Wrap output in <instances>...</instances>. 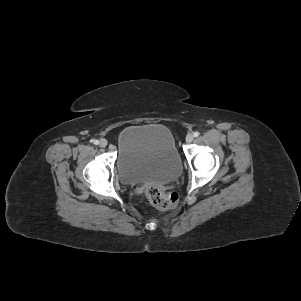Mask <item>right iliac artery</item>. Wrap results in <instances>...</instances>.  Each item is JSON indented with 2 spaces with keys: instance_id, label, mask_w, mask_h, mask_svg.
I'll list each match as a JSON object with an SVG mask.
<instances>
[{
  "instance_id": "82829eb1",
  "label": "right iliac artery",
  "mask_w": 301,
  "mask_h": 301,
  "mask_svg": "<svg viewBox=\"0 0 301 301\" xmlns=\"http://www.w3.org/2000/svg\"><path fill=\"white\" fill-rule=\"evenodd\" d=\"M93 143H94L95 145H98V144H99V141H98V140H93Z\"/></svg>"
}]
</instances>
